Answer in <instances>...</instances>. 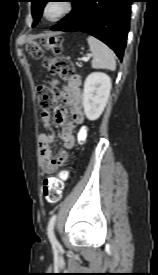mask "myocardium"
Instances as JSON below:
<instances>
[{
	"label": "myocardium",
	"mask_w": 158,
	"mask_h": 275,
	"mask_svg": "<svg viewBox=\"0 0 158 275\" xmlns=\"http://www.w3.org/2000/svg\"><path fill=\"white\" fill-rule=\"evenodd\" d=\"M57 2V1H48L44 4L43 8H42V16L43 18L51 23L57 22L59 20H61L62 18H64L65 16H67L68 14H70L73 10V3L70 0H62L59 1L60 3H62L63 5V10L61 11V13L53 18H49L47 16V8L49 7L50 4Z\"/></svg>",
	"instance_id": "obj_1"
}]
</instances>
